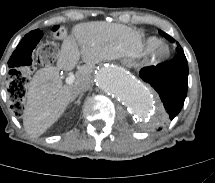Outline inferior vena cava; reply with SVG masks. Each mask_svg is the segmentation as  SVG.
<instances>
[{
  "instance_id": "inferior-vena-cava-1",
  "label": "inferior vena cava",
  "mask_w": 215,
  "mask_h": 183,
  "mask_svg": "<svg viewBox=\"0 0 215 183\" xmlns=\"http://www.w3.org/2000/svg\"><path fill=\"white\" fill-rule=\"evenodd\" d=\"M92 87V81L89 79L77 81L75 84V93H83L88 91Z\"/></svg>"
}]
</instances>
